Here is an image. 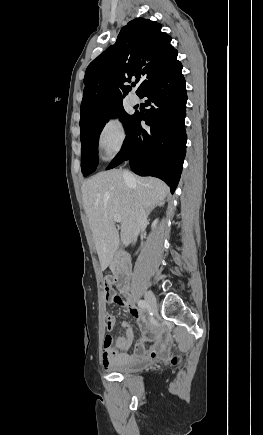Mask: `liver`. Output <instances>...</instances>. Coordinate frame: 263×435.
Returning a JSON list of instances; mask_svg holds the SVG:
<instances>
[{"label": "liver", "mask_w": 263, "mask_h": 435, "mask_svg": "<svg viewBox=\"0 0 263 435\" xmlns=\"http://www.w3.org/2000/svg\"><path fill=\"white\" fill-rule=\"evenodd\" d=\"M125 182L118 169L100 172L82 184V199L89 219L96 251L102 270L111 263L119 242L128 246L132 241L131 225L135 204L146 212L163 205L168 193L167 185L156 178L133 176ZM114 215L121 217V231L116 230Z\"/></svg>", "instance_id": "liver-1"}]
</instances>
